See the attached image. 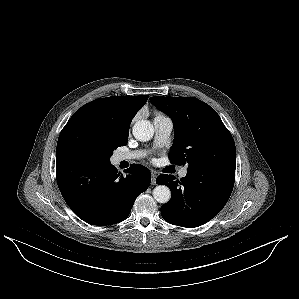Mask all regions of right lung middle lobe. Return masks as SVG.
I'll use <instances>...</instances> for the list:
<instances>
[{
	"label": "right lung middle lobe",
	"mask_w": 299,
	"mask_h": 299,
	"mask_svg": "<svg viewBox=\"0 0 299 299\" xmlns=\"http://www.w3.org/2000/svg\"><path fill=\"white\" fill-rule=\"evenodd\" d=\"M102 127L91 124L82 131L59 136L56 151L64 158L86 163L107 164L114 149L127 144Z\"/></svg>",
	"instance_id": "dd1d6c3e"
}]
</instances>
